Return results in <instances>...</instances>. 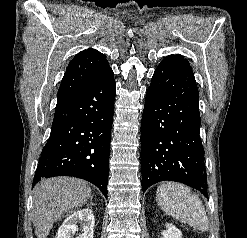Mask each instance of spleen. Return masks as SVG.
Instances as JSON below:
<instances>
[{"mask_svg": "<svg viewBox=\"0 0 247 238\" xmlns=\"http://www.w3.org/2000/svg\"><path fill=\"white\" fill-rule=\"evenodd\" d=\"M156 201L167 214L195 229L208 230L204 205L191 189L179 183H163L156 191Z\"/></svg>", "mask_w": 247, "mask_h": 238, "instance_id": "3e777b00", "label": "spleen"}]
</instances>
